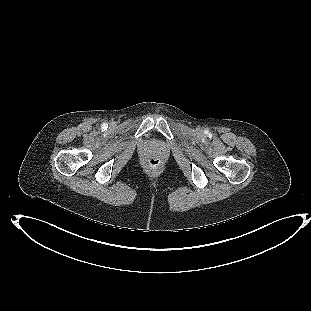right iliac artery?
<instances>
[{
  "instance_id": "1",
  "label": "right iliac artery",
  "mask_w": 311,
  "mask_h": 311,
  "mask_svg": "<svg viewBox=\"0 0 311 311\" xmlns=\"http://www.w3.org/2000/svg\"><path fill=\"white\" fill-rule=\"evenodd\" d=\"M108 127V125L107 124H103V128H107Z\"/></svg>"
}]
</instances>
